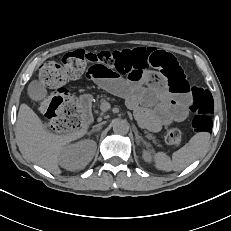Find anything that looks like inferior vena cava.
Here are the masks:
<instances>
[{
  "mask_svg": "<svg viewBox=\"0 0 231 231\" xmlns=\"http://www.w3.org/2000/svg\"><path fill=\"white\" fill-rule=\"evenodd\" d=\"M102 124H103V123H99V124H97V125H94V128L101 127Z\"/></svg>",
  "mask_w": 231,
  "mask_h": 231,
  "instance_id": "1",
  "label": "inferior vena cava"
}]
</instances>
